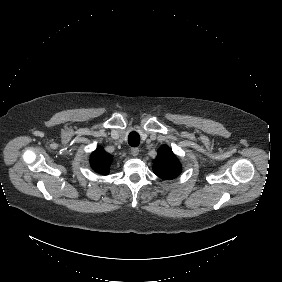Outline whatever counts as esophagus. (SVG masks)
Wrapping results in <instances>:
<instances>
[{
  "instance_id": "obj_1",
  "label": "esophagus",
  "mask_w": 282,
  "mask_h": 282,
  "mask_svg": "<svg viewBox=\"0 0 282 282\" xmlns=\"http://www.w3.org/2000/svg\"><path fill=\"white\" fill-rule=\"evenodd\" d=\"M130 153L132 156L136 157L139 154V149L138 148H131Z\"/></svg>"
}]
</instances>
